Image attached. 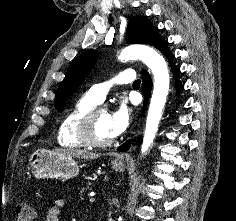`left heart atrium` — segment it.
Here are the masks:
<instances>
[{
  "label": "left heart atrium",
  "instance_id": "obj_1",
  "mask_svg": "<svg viewBox=\"0 0 236 221\" xmlns=\"http://www.w3.org/2000/svg\"><path fill=\"white\" fill-rule=\"evenodd\" d=\"M132 121V110L124 103L110 114L111 129L115 136L122 134Z\"/></svg>",
  "mask_w": 236,
  "mask_h": 221
}]
</instances>
